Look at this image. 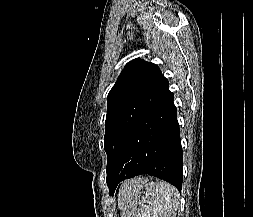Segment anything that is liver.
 <instances>
[{
    "instance_id": "liver-1",
    "label": "liver",
    "mask_w": 253,
    "mask_h": 217,
    "mask_svg": "<svg viewBox=\"0 0 253 217\" xmlns=\"http://www.w3.org/2000/svg\"><path fill=\"white\" fill-rule=\"evenodd\" d=\"M142 184V178H134L124 181L119 190V201H123L125 198H128L132 191H135L137 188H141Z\"/></svg>"
}]
</instances>
